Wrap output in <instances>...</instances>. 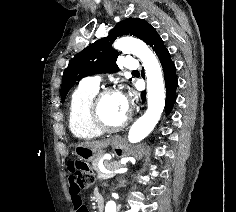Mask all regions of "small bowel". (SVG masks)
Listing matches in <instances>:
<instances>
[{
	"label": "small bowel",
	"mask_w": 236,
	"mask_h": 212,
	"mask_svg": "<svg viewBox=\"0 0 236 212\" xmlns=\"http://www.w3.org/2000/svg\"><path fill=\"white\" fill-rule=\"evenodd\" d=\"M66 180H68L69 187L66 197L69 198V202H72L74 210L73 212H88L84 208L82 203L83 190H87V185H81V180L78 179V175H66Z\"/></svg>",
	"instance_id": "1"
}]
</instances>
